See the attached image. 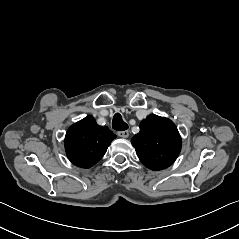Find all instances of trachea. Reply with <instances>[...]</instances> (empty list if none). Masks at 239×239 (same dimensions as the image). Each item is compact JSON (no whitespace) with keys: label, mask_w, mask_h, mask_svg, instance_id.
<instances>
[{"label":"trachea","mask_w":239,"mask_h":239,"mask_svg":"<svg viewBox=\"0 0 239 239\" xmlns=\"http://www.w3.org/2000/svg\"><path fill=\"white\" fill-rule=\"evenodd\" d=\"M112 128L117 131H124L128 129V125L124 122L120 113H116L113 116Z\"/></svg>","instance_id":"trachea-1"}]
</instances>
